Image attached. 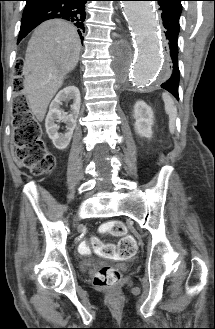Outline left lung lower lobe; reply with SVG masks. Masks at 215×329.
<instances>
[{"label":"left lung lower lobe","mask_w":215,"mask_h":329,"mask_svg":"<svg viewBox=\"0 0 215 329\" xmlns=\"http://www.w3.org/2000/svg\"><path fill=\"white\" fill-rule=\"evenodd\" d=\"M158 2L161 11L163 25L166 29V51H167V72L168 76L161 87L169 91L177 100L179 84L178 67V35L180 30L179 19L181 10L168 0H155Z\"/></svg>","instance_id":"0a47b994"}]
</instances>
